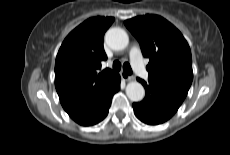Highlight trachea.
<instances>
[{
    "label": "trachea",
    "mask_w": 230,
    "mask_h": 155,
    "mask_svg": "<svg viewBox=\"0 0 230 155\" xmlns=\"http://www.w3.org/2000/svg\"><path fill=\"white\" fill-rule=\"evenodd\" d=\"M122 67H123L124 72L127 75L132 74V69H131V66L128 62H125ZM120 69H121V63L118 60H115L113 62V70L117 72V71H120Z\"/></svg>",
    "instance_id": "trachea-1"
}]
</instances>
